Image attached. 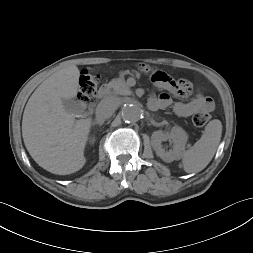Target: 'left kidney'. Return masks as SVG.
<instances>
[{"label": "left kidney", "instance_id": "5707ae66", "mask_svg": "<svg viewBox=\"0 0 253 253\" xmlns=\"http://www.w3.org/2000/svg\"><path fill=\"white\" fill-rule=\"evenodd\" d=\"M188 136L186 132L180 127H173L170 133L163 132L161 130L153 132L151 136L152 146L156 155L165 162H172L174 160L181 159ZM170 140L173 143L172 149L165 151L162 148V142Z\"/></svg>", "mask_w": 253, "mask_h": 253}]
</instances>
